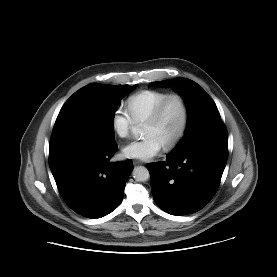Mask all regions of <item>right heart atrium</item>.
<instances>
[{
	"mask_svg": "<svg viewBox=\"0 0 277 277\" xmlns=\"http://www.w3.org/2000/svg\"><path fill=\"white\" fill-rule=\"evenodd\" d=\"M134 123L130 114L122 108L116 109L111 118L112 129L120 138H125L130 134Z\"/></svg>",
	"mask_w": 277,
	"mask_h": 277,
	"instance_id": "1",
	"label": "right heart atrium"
}]
</instances>
